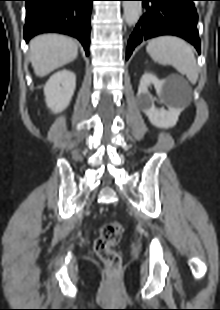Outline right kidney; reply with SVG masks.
<instances>
[{
  "label": "right kidney",
  "mask_w": 220,
  "mask_h": 310,
  "mask_svg": "<svg viewBox=\"0 0 220 310\" xmlns=\"http://www.w3.org/2000/svg\"><path fill=\"white\" fill-rule=\"evenodd\" d=\"M76 87V76L63 69L54 73L44 87L47 107L53 113L62 112L69 105Z\"/></svg>",
  "instance_id": "obj_1"
}]
</instances>
